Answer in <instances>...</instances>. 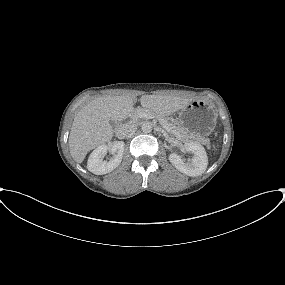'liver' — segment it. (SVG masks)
I'll use <instances>...</instances> for the list:
<instances>
[{"label": "liver", "instance_id": "1", "mask_svg": "<svg viewBox=\"0 0 285 285\" xmlns=\"http://www.w3.org/2000/svg\"><path fill=\"white\" fill-rule=\"evenodd\" d=\"M191 98L173 95H143V108L160 115H170L192 102ZM137 102L134 94L102 96L85 105L74 117L70 135L69 150L77 163H82L88 152L104 145L113 137L110 121L119 122L130 116Z\"/></svg>", "mask_w": 285, "mask_h": 285}]
</instances>
